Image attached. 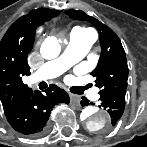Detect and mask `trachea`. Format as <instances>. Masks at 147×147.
<instances>
[{"mask_svg":"<svg viewBox=\"0 0 147 147\" xmlns=\"http://www.w3.org/2000/svg\"><path fill=\"white\" fill-rule=\"evenodd\" d=\"M85 88H77V90H72L73 93L76 94H82L84 92Z\"/></svg>","mask_w":147,"mask_h":147,"instance_id":"trachea-1","label":"trachea"}]
</instances>
